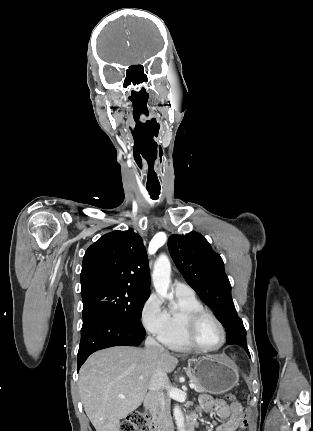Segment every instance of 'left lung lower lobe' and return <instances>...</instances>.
Returning <instances> with one entry per match:
<instances>
[{
    "label": "left lung lower lobe",
    "mask_w": 313,
    "mask_h": 431,
    "mask_svg": "<svg viewBox=\"0 0 313 431\" xmlns=\"http://www.w3.org/2000/svg\"><path fill=\"white\" fill-rule=\"evenodd\" d=\"M246 351L249 352L247 347H246Z\"/></svg>",
    "instance_id": "1"
}]
</instances>
